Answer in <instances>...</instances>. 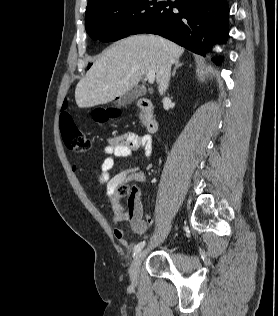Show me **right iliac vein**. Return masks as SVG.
Instances as JSON below:
<instances>
[{"mask_svg":"<svg viewBox=\"0 0 278 316\" xmlns=\"http://www.w3.org/2000/svg\"><path fill=\"white\" fill-rule=\"evenodd\" d=\"M170 229H171V222H169V224L165 228L162 236L160 237V239L157 241L156 244H160L161 242H163L165 240ZM146 254H147V249L140 251L136 255V257L134 258V260L132 262V265L130 267V280L132 283H136L138 280L140 265H141L144 257L146 256Z\"/></svg>","mask_w":278,"mask_h":316,"instance_id":"right-iliac-vein-1","label":"right iliac vein"}]
</instances>
